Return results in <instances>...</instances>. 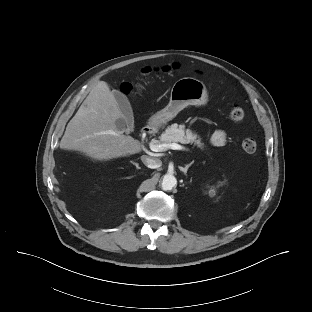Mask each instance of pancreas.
<instances>
[{"label":"pancreas","instance_id":"1","mask_svg":"<svg viewBox=\"0 0 312 312\" xmlns=\"http://www.w3.org/2000/svg\"><path fill=\"white\" fill-rule=\"evenodd\" d=\"M180 142L183 144L194 143L199 148H203L204 144L201 142V138L190 129H185V125L172 124L168 126L164 133L161 134L160 140L156 143L172 144Z\"/></svg>","mask_w":312,"mask_h":312}]
</instances>
